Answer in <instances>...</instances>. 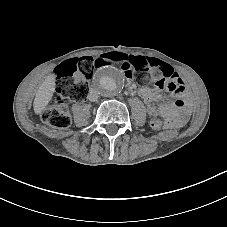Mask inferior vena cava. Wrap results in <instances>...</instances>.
<instances>
[{"mask_svg":"<svg viewBox=\"0 0 227 227\" xmlns=\"http://www.w3.org/2000/svg\"><path fill=\"white\" fill-rule=\"evenodd\" d=\"M98 97H99V94L96 90H94V89L89 90V94H88L89 101L95 102L98 100Z\"/></svg>","mask_w":227,"mask_h":227,"instance_id":"1","label":"inferior vena cava"}]
</instances>
